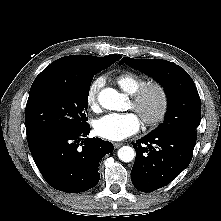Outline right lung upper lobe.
<instances>
[{
	"mask_svg": "<svg viewBox=\"0 0 221 221\" xmlns=\"http://www.w3.org/2000/svg\"><path fill=\"white\" fill-rule=\"evenodd\" d=\"M120 55L96 57L92 55H71L62 57L52 62L42 72H54L74 77H83L88 74L96 63L102 59L119 60Z\"/></svg>",
	"mask_w": 221,
	"mask_h": 221,
	"instance_id": "1",
	"label": "right lung upper lobe"
}]
</instances>
